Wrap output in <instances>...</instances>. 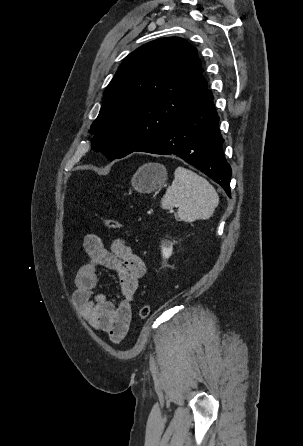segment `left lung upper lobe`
Masks as SVG:
<instances>
[{"mask_svg": "<svg viewBox=\"0 0 303 446\" xmlns=\"http://www.w3.org/2000/svg\"><path fill=\"white\" fill-rule=\"evenodd\" d=\"M207 89L197 50L186 40L151 41L129 54L104 93L91 125L92 147L109 160L166 134Z\"/></svg>", "mask_w": 303, "mask_h": 446, "instance_id": "left-lung-upper-lobe-1", "label": "left lung upper lobe"}]
</instances>
